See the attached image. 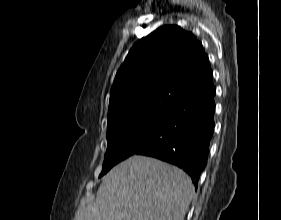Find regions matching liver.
<instances>
[{
    "label": "liver",
    "instance_id": "liver-1",
    "mask_svg": "<svg viewBox=\"0 0 281 220\" xmlns=\"http://www.w3.org/2000/svg\"><path fill=\"white\" fill-rule=\"evenodd\" d=\"M193 191L182 169L134 155L103 177L95 201L75 220H184Z\"/></svg>",
    "mask_w": 281,
    "mask_h": 220
}]
</instances>
